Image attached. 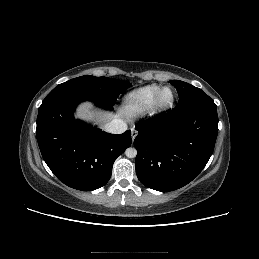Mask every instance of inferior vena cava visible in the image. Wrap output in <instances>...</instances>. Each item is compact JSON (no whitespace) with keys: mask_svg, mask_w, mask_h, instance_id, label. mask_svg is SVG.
Returning a JSON list of instances; mask_svg holds the SVG:
<instances>
[{"mask_svg":"<svg viewBox=\"0 0 259 259\" xmlns=\"http://www.w3.org/2000/svg\"><path fill=\"white\" fill-rule=\"evenodd\" d=\"M104 130L111 134H121L127 130V124L121 119H114L104 126Z\"/></svg>","mask_w":259,"mask_h":259,"instance_id":"602c4592","label":"inferior vena cava"}]
</instances>
